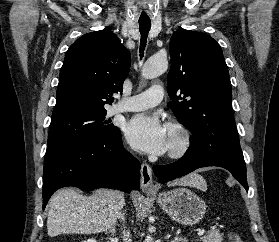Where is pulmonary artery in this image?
<instances>
[{
	"instance_id": "e3ab8cb5",
	"label": "pulmonary artery",
	"mask_w": 279,
	"mask_h": 242,
	"mask_svg": "<svg viewBox=\"0 0 279 242\" xmlns=\"http://www.w3.org/2000/svg\"><path fill=\"white\" fill-rule=\"evenodd\" d=\"M163 99V88L160 85H154L145 92L132 96L119 102L113 108V112H133L158 105Z\"/></svg>"
}]
</instances>
